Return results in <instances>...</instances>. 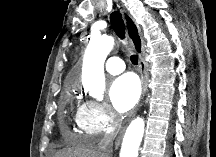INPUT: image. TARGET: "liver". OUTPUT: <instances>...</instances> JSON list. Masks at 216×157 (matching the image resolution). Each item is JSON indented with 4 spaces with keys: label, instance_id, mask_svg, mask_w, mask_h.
Masks as SVG:
<instances>
[{
    "label": "liver",
    "instance_id": "obj_1",
    "mask_svg": "<svg viewBox=\"0 0 216 157\" xmlns=\"http://www.w3.org/2000/svg\"><path fill=\"white\" fill-rule=\"evenodd\" d=\"M56 157H100L99 152L93 147H75L62 150L56 154Z\"/></svg>",
    "mask_w": 216,
    "mask_h": 157
}]
</instances>
